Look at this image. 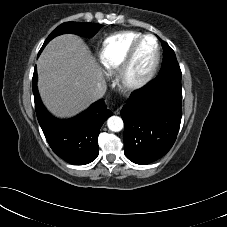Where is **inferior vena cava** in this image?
<instances>
[{
    "mask_svg": "<svg viewBox=\"0 0 227 227\" xmlns=\"http://www.w3.org/2000/svg\"><path fill=\"white\" fill-rule=\"evenodd\" d=\"M106 83L103 81V82H99L97 87L93 90L91 96L94 100H98L100 98H102L105 93H106Z\"/></svg>",
    "mask_w": 227,
    "mask_h": 227,
    "instance_id": "1",
    "label": "inferior vena cava"
}]
</instances>
